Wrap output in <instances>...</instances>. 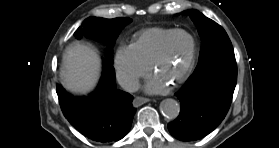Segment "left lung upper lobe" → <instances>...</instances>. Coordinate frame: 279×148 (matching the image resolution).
<instances>
[{"mask_svg":"<svg viewBox=\"0 0 279 148\" xmlns=\"http://www.w3.org/2000/svg\"><path fill=\"white\" fill-rule=\"evenodd\" d=\"M183 13L190 16L202 39L199 63L217 55L234 53L231 41L220 25L197 10H187Z\"/></svg>","mask_w":279,"mask_h":148,"instance_id":"obj_1","label":"left lung upper lobe"}]
</instances>
